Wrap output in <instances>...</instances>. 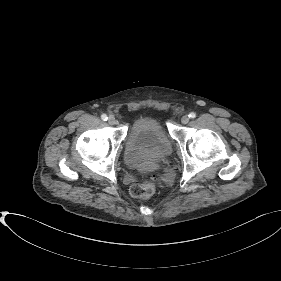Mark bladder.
<instances>
[{
  "label": "bladder",
  "instance_id": "1",
  "mask_svg": "<svg viewBox=\"0 0 281 281\" xmlns=\"http://www.w3.org/2000/svg\"><path fill=\"white\" fill-rule=\"evenodd\" d=\"M172 148L165 129L155 117H139L130 126L125 145V162L136 170H150L163 164Z\"/></svg>",
  "mask_w": 281,
  "mask_h": 281
}]
</instances>
